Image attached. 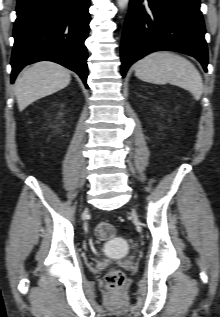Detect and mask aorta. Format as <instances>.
<instances>
[{"label": "aorta", "mask_w": 220, "mask_h": 317, "mask_svg": "<svg viewBox=\"0 0 220 317\" xmlns=\"http://www.w3.org/2000/svg\"><path fill=\"white\" fill-rule=\"evenodd\" d=\"M117 3H118V6L121 10H124L128 3H129V0H117Z\"/></svg>", "instance_id": "aorta-1"}]
</instances>
